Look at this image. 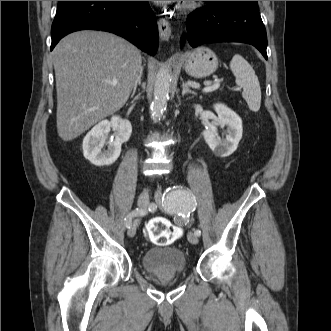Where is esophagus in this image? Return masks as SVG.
<instances>
[{
    "mask_svg": "<svg viewBox=\"0 0 331 331\" xmlns=\"http://www.w3.org/2000/svg\"><path fill=\"white\" fill-rule=\"evenodd\" d=\"M158 28H159L160 38L163 41H169L172 33L169 22L164 18H160L158 21Z\"/></svg>",
    "mask_w": 331,
    "mask_h": 331,
    "instance_id": "1",
    "label": "esophagus"
}]
</instances>
